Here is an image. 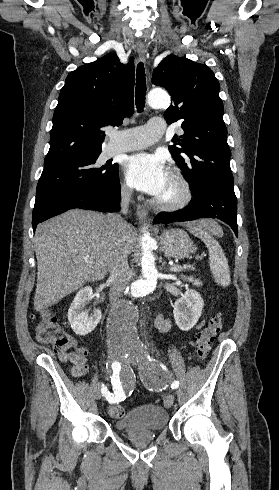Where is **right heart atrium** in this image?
Masks as SVG:
<instances>
[{"label":"right heart atrium","instance_id":"right-heart-atrium-1","mask_svg":"<svg viewBox=\"0 0 279 490\" xmlns=\"http://www.w3.org/2000/svg\"><path fill=\"white\" fill-rule=\"evenodd\" d=\"M118 189H119L120 196L124 199L128 198L132 193L130 186L125 182H120Z\"/></svg>","mask_w":279,"mask_h":490}]
</instances>
